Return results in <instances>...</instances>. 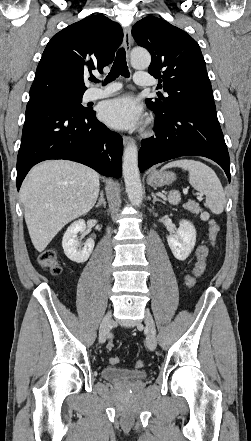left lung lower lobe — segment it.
<instances>
[{
  "label": "left lung lower lobe",
  "instance_id": "0a47b994",
  "mask_svg": "<svg viewBox=\"0 0 251 441\" xmlns=\"http://www.w3.org/2000/svg\"><path fill=\"white\" fill-rule=\"evenodd\" d=\"M156 116L155 137L142 140L139 150L140 172L176 157L196 155L218 163L230 181L229 154L214 103L187 104Z\"/></svg>",
  "mask_w": 251,
  "mask_h": 441
}]
</instances>
